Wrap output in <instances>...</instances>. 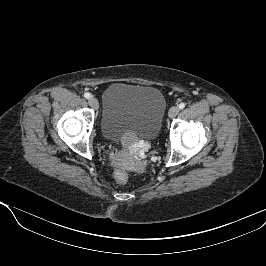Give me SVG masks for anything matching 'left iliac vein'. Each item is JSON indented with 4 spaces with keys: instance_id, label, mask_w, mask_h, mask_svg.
I'll list each match as a JSON object with an SVG mask.
<instances>
[{
    "instance_id": "obj_1",
    "label": "left iliac vein",
    "mask_w": 266,
    "mask_h": 266,
    "mask_svg": "<svg viewBox=\"0 0 266 266\" xmlns=\"http://www.w3.org/2000/svg\"><path fill=\"white\" fill-rule=\"evenodd\" d=\"M179 113V107L177 106H173L170 108L169 112H168V116L170 118H174L176 117V115Z\"/></svg>"
}]
</instances>
